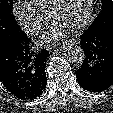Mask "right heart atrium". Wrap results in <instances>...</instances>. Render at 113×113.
Segmentation results:
<instances>
[{
	"mask_svg": "<svg viewBox=\"0 0 113 113\" xmlns=\"http://www.w3.org/2000/svg\"><path fill=\"white\" fill-rule=\"evenodd\" d=\"M13 13L22 29L31 36L38 35L47 21V15L40 13L26 2H15Z\"/></svg>",
	"mask_w": 113,
	"mask_h": 113,
	"instance_id": "d8ad5b80",
	"label": "right heart atrium"
}]
</instances>
